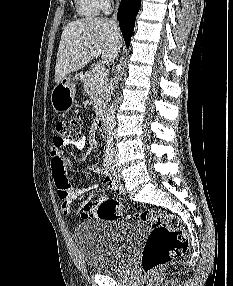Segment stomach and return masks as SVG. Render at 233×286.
<instances>
[{
	"label": "stomach",
	"instance_id": "0dacf381",
	"mask_svg": "<svg viewBox=\"0 0 233 286\" xmlns=\"http://www.w3.org/2000/svg\"><path fill=\"white\" fill-rule=\"evenodd\" d=\"M75 87L68 80L63 79L51 92V105L55 112H67L74 102Z\"/></svg>",
	"mask_w": 233,
	"mask_h": 286
}]
</instances>
